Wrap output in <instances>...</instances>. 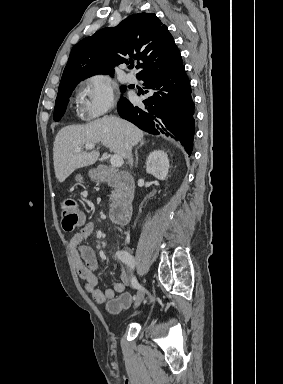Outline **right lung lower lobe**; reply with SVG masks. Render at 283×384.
<instances>
[{"label": "right lung lower lobe", "instance_id": "98d812e1", "mask_svg": "<svg viewBox=\"0 0 283 384\" xmlns=\"http://www.w3.org/2000/svg\"><path fill=\"white\" fill-rule=\"evenodd\" d=\"M153 95L143 101L144 108L126 98L118 103L120 117L152 134H165L180 141L190 155L194 138V102L184 65L143 79Z\"/></svg>", "mask_w": 283, "mask_h": 384}]
</instances>
